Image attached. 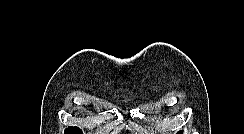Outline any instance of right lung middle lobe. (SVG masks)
<instances>
[{"mask_svg": "<svg viewBox=\"0 0 244 134\" xmlns=\"http://www.w3.org/2000/svg\"><path fill=\"white\" fill-rule=\"evenodd\" d=\"M65 134H82V131L77 127H68L65 130Z\"/></svg>", "mask_w": 244, "mask_h": 134, "instance_id": "right-lung-middle-lobe-1", "label": "right lung middle lobe"}]
</instances>
